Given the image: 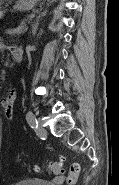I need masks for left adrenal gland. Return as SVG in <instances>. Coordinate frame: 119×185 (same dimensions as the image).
I'll list each match as a JSON object with an SVG mask.
<instances>
[{"instance_id": "a2214340", "label": "left adrenal gland", "mask_w": 119, "mask_h": 185, "mask_svg": "<svg viewBox=\"0 0 119 185\" xmlns=\"http://www.w3.org/2000/svg\"><path fill=\"white\" fill-rule=\"evenodd\" d=\"M43 15H44V12L41 13V14L37 17L35 23L33 24V30H32L33 35L36 34L37 29H38V25H39V19H40Z\"/></svg>"}]
</instances>
